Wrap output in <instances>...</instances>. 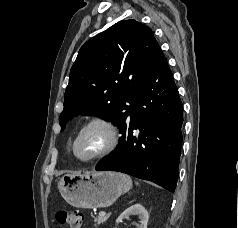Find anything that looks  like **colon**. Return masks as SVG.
Masks as SVG:
<instances>
[{
    "instance_id": "colon-1",
    "label": "colon",
    "mask_w": 238,
    "mask_h": 228,
    "mask_svg": "<svg viewBox=\"0 0 238 228\" xmlns=\"http://www.w3.org/2000/svg\"><path fill=\"white\" fill-rule=\"evenodd\" d=\"M57 221L67 228H82L83 215L77 212L61 210L56 214Z\"/></svg>"
}]
</instances>
